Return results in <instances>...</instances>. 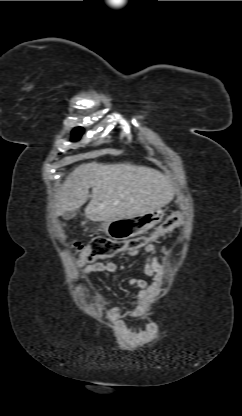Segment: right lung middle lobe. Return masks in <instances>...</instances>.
<instances>
[{
	"label": "right lung middle lobe",
	"mask_w": 242,
	"mask_h": 416,
	"mask_svg": "<svg viewBox=\"0 0 242 416\" xmlns=\"http://www.w3.org/2000/svg\"><path fill=\"white\" fill-rule=\"evenodd\" d=\"M83 134V128L82 127H77L74 129L73 131V140H78L81 135Z\"/></svg>",
	"instance_id": "obj_1"
}]
</instances>
